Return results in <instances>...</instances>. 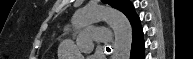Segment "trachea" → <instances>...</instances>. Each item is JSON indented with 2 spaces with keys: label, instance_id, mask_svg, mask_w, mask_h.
I'll list each match as a JSON object with an SVG mask.
<instances>
[{
  "label": "trachea",
  "instance_id": "obj_1",
  "mask_svg": "<svg viewBox=\"0 0 193 59\" xmlns=\"http://www.w3.org/2000/svg\"><path fill=\"white\" fill-rule=\"evenodd\" d=\"M107 51H110L111 49L109 47L106 48Z\"/></svg>",
  "mask_w": 193,
  "mask_h": 59
}]
</instances>
